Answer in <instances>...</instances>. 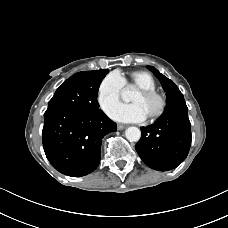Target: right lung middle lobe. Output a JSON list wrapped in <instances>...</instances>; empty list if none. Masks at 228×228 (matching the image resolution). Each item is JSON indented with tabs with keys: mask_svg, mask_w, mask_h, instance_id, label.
<instances>
[{
	"mask_svg": "<svg viewBox=\"0 0 228 228\" xmlns=\"http://www.w3.org/2000/svg\"><path fill=\"white\" fill-rule=\"evenodd\" d=\"M109 71H82L68 78L55 92L48 109H68L91 112L99 109L97 93Z\"/></svg>",
	"mask_w": 228,
	"mask_h": 228,
	"instance_id": "dd1d6c3e",
	"label": "right lung middle lobe"
}]
</instances>
